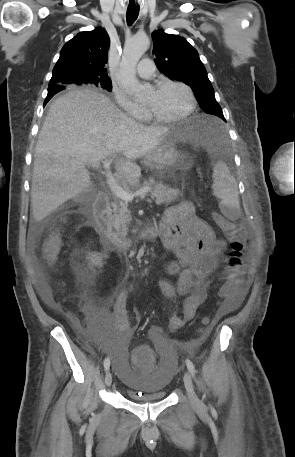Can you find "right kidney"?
I'll return each instance as SVG.
<instances>
[{
  "label": "right kidney",
  "instance_id": "ca27d5eb",
  "mask_svg": "<svg viewBox=\"0 0 295 457\" xmlns=\"http://www.w3.org/2000/svg\"><path fill=\"white\" fill-rule=\"evenodd\" d=\"M90 261L92 264H101V258L98 256V254H91L90 255Z\"/></svg>",
  "mask_w": 295,
  "mask_h": 457
}]
</instances>
